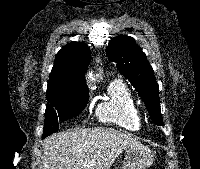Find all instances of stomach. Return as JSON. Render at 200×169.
I'll return each instance as SVG.
<instances>
[{
    "mask_svg": "<svg viewBox=\"0 0 200 169\" xmlns=\"http://www.w3.org/2000/svg\"><path fill=\"white\" fill-rule=\"evenodd\" d=\"M154 161V154L147 146H131L126 149V155L120 169H147Z\"/></svg>",
    "mask_w": 200,
    "mask_h": 169,
    "instance_id": "1",
    "label": "stomach"
}]
</instances>
